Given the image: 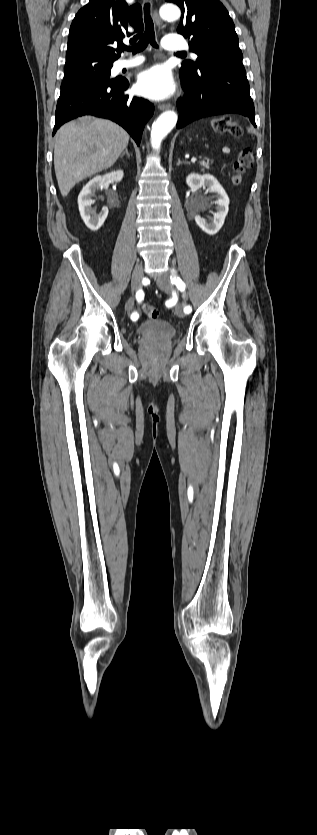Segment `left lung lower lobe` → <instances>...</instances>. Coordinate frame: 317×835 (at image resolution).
<instances>
[{"label":"left lung lower lobe","instance_id":"1","mask_svg":"<svg viewBox=\"0 0 317 835\" xmlns=\"http://www.w3.org/2000/svg\"><path fill=\"white\" fill-rule=\"evenodd\" d=\"M184 96L177 101V128L203 117L235 113L256 127L254 104L242 60H212L197 72L180 74Z\"/></svg>","mask_w":317,"mask_h":835}]
</instances>
